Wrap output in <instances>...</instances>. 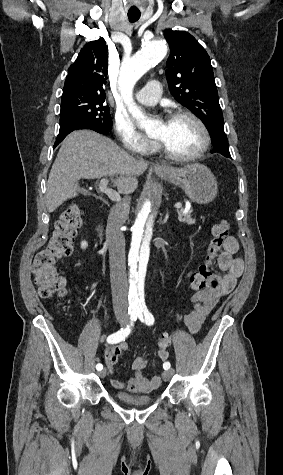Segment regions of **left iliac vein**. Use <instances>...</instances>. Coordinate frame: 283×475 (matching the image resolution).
<instances>
[{"label": "left iliac vein", "mask_w": 283, "mask_h": 475, "mask_svg": "<svg viewBox=\"0 0 283 475\" xmlns=\"http://www.w3.org/2000/svg\"><path fill=\"white\" fill-rule=\"evenodd\" d=\"M173 374H174V370L163 371L162 372V378H163L164 381H168L172 377Z\"/></svg>", "instance_id": "4c4485c4"}]
</instances>
